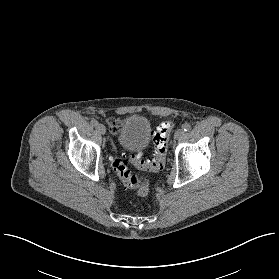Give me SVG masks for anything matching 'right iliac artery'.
Listing matches in <instances>:
<instances>
[{
    "label": "right iliac artery",
    "instance_id": "1",
    "mask_svg": "<svg viewBox=\"0 0 279 279\" xmlns=\"http://www.w3.org/2000/svg\"><path fill=\"white\" fill-rule=\"evenodd\" d=\"M91 125L97 126V125H98V122H97L96 120H91Z\"/></svg>",
    "mask_w": 279,
    "mask_h": 279
}]
</instances>
